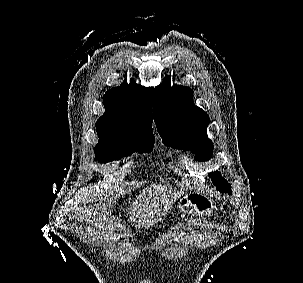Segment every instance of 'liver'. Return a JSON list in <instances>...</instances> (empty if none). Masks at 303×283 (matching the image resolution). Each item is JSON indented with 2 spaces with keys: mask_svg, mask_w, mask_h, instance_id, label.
<instances>
[{
  "mask_svg": "<svg viewBox=\"0 0 303 283\" xmlns=\"http://www.w3.org/2000/svg\"><path fill=\"white\" fill-rule=\"evenodd\" d=\"M182 194V191L179 192L161 184L146 188L132 205V215L135 218H131V222L135 223V226L146 227L161 220L165 212ZM93 197H96L95 200L98 201V204L85 212L88 228L93 230L97 228L99 232L110 234L115 226H113V218L109 217L107 211L109 204L103 202L107 195L99 189L93 193Z\"/></svg>",
  "mask_w": 303,
  "mask_h": 283,
  "instance_id": "liver-1",
  "label": "liver"
}]
</instances>
